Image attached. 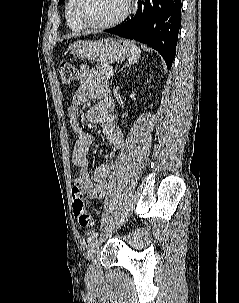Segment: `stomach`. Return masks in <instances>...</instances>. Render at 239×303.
<instances>
[{
  "label": "stomach",
  "instance_id": "0dacf381",
  "mask_svg": "<svg viewBox=\"0 0 239 303\" xmlns=\"http://www.w3.org/2000/svg\"><path fill=\"white\" fill-rule=\"evenodd\" d=\"M69 50L78 58L96 60L104 64L114 63L127 56L125 43L112 38L95 41L79 40L73 43Z\"/></svg>",
  "mask_w": 239,
  "mask_h": 303
}]
</instances>
